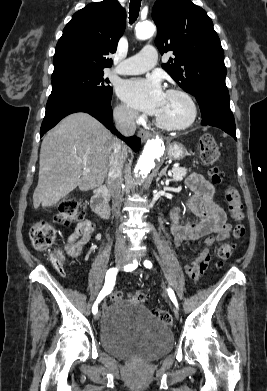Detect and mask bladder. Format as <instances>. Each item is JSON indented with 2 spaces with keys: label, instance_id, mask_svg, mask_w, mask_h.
<instances>
[{
  "label": "bladder",
  "instance_id": "1",
  "mask_svg": "<svg viewBox=\"0 0 267 391\" xmlns=\"http://www.w3.org/2000/svg\"><path fill=\"white\" fill-rule=\"evenodd\" d=\"M99 334L103 350L122 359L152 361L166 355L173 345L169 327L132 300H116L106 308Z\"/></svg>",
  "mask_w": 267,
  "mask_h": 391
}]
</instances>
